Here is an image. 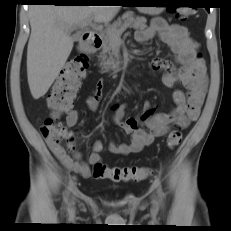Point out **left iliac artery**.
<instances>
[{"instance_id": "44dca946", "label": "left iliac artery", "mask_w": 231, "mask_h": 231, "mask_svg": "<svg viewBox=\"0 0 231 231\" xmlns=\"http://www.w3.org/2000/svg\"><path fill=\"white\" fill-rule=\"evenodd\" d=\"M155 185L157 187V192H158L160 198L162 199L164 195H163V192H162L160 181L158 179H155Z\"/></svg>"}]
</instances>
